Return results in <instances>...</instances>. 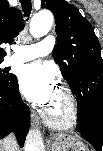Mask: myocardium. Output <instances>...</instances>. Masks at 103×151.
<instances>
[{"mask_svg":"<svg viewBox=\"0 0 103 151\" xmlns=\"http://www.w3.org/2000/svg\"><path fill=\"white\" fill-rule=\"evenodd\" d=\"M58 91L64 97L66 103L65 115L61 118L54 117L46 108L42 111V117L45 123L53 128L68 129L74 126L77 122L78 107L76 99L72 91L66 86H61Z\"/></svg>","mask_w":103,"mask_h":151,"instance_id":"1","label":"myocardium"}]
</instances>
